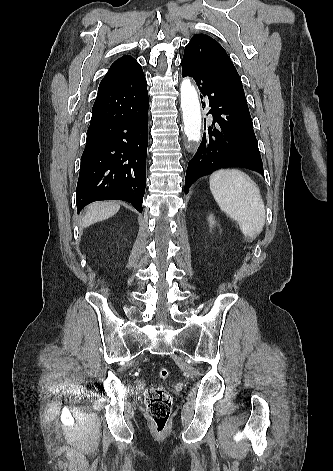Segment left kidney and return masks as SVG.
I'll list each match as a JSON object with an SVG mask.
<instances>
[{
    "mask_svg": "<svg viewBox=\"0 0 333 471\" xmlns=\"http://www.w3.org/2000/svg\"><path fill=\"white\" fill-rule=\"evenodd\" d=\"M208 220H209L210 227L215 225V220H214L213 216H210Z\"/></svg>",
    "mask_w": 333,
    "mask_h": 471,
    "instance_id": "5707ae66",
    "label": "left kidney"
}]
</instances>
